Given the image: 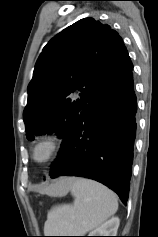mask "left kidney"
I'll use <instances>...</instances> for the list:
<instances>
[{
  "label": "left kidney",
  "instance_id": "obj_1",
  "mask_svg": "<svg viewBox=\"0 0 158 237\" xmlns=\"http://www.w3.org/2000/svg\"><path fill=\"white\" fill-rule=\"evenodd\" d=\"M119 224V218L112 217L101 226L90 232L89 236H116Z\"/></svg>",
  "mask_w": 158,
  "mask_h": 237
}]
</instances>
